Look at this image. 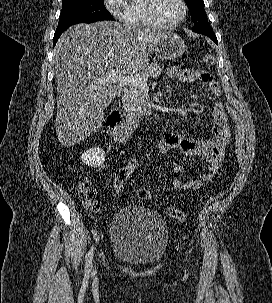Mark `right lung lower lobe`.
Returning <instances> with one entry per match:
<instances>
[{
  "instance_id": "right-lung-lower-lobe-1",
  "label": "right lung lower lobe",
  "mask_w": 272,
  "mask_h": 303,
  "mask_svg": "<svg viewBox=\"0 0 272 303\" xmlns=\"http://www.w3.org/2000/svg\"><path fill=\"white\" fill-rule=\"evenodd\" d=\"M64 32V31H63ZM63 32H59V33H55L54 34V42H53V46H55L58 38L60 37V35L63 33Z\"/></svg>"
}]
</instances>
